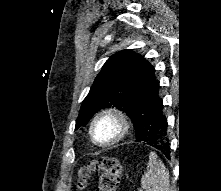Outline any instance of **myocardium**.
I'll list each match as a JSON object with an SVG mask.
<instances>
[{
    "instance_id": "f54148a6",
    "label": "myocardium",
    "mask_w": 221,
    "mask_h": 191,
    "mask_svg": "<svg viewBox=\"0 0 221 191\" xmlns=\"http://www.w3.org/2000/svg\"><path fill=\"white\" fill-rule=\"evenodd\" d=\"M112 119L117 124V133L116 135L106 142H98L95 139L94 130L96 125L104 119ZM130 129V122L128 116L121 110L116 108H106L99 111L92 119L89 126V135L94 144L100 147H109L120 141H122L128 134Z\"/></svg>"
}]
</instances>
